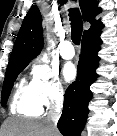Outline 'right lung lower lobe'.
<instances>
[{"instance_id": "1", "label": "right lung lower lobe", "mask_w": 117, "mask_h": 136, "mask_svg": "<svg viewBox=\"0 0 117 136\" xmlns=\"http://www.w3.org/2000/svg\"><path fill=\"white\" fill-rule=\"evenodd\" d=\"M100 33L101 29L82 38L77 78L65 92L63 112L57 125L63 136H80L84 128L92 98L89 87L98 76L95 69L100 59L97 56L102 43Z\"/></svg>"}]
</instances>
